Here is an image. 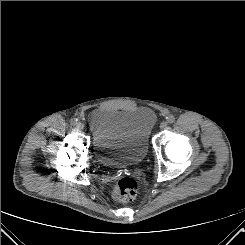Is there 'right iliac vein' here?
<instances>
[{
    "label": "right iliac vein",
    "instance_id": "63e3f726",
    "mask_svg": "<svg viewBox=\"0 0 245 245\" xmlns=\"http://www.w3.org/2000/svg\"><path fill=\"white\" fill-rule=\"evenodd\" d=\"M76 128H77L78 130H82V129L84 128V124H83L82 122H77V123H76Z\"/></svg>",
    "mask_w": 245,
    "mask_h": 245
}]
</instances>
